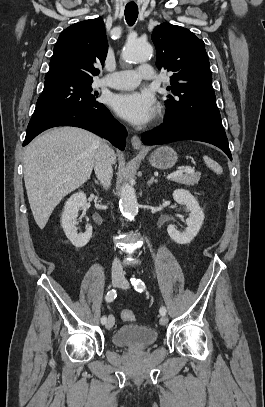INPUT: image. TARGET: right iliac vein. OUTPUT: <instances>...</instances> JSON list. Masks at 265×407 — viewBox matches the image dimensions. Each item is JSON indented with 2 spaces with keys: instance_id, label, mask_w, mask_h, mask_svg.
<instances>
[{
  "instance_id": "obj_1",
  "label": "right iliac vein",
  "mask_w": 265,
  "mask_h": 407,
  "mask_svg": "<svg viewBox=\"0 0 265 407\" xmlns=\"http://www.w3.org/2000/svg\"><path fill=\"white\" fill-rule=\"evenodd\" d=\"M122 281L123 280L121 278H119V277H113L112 278V285L114 287H117L122 283ZM113 325H114V317L112 315H110V316H108L105 327H106V329H111L113 327Z\"/></svg>"
}]
</instances>
